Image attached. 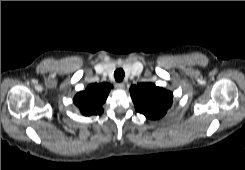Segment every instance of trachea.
Returning <instances> with one entry per match:
<instances>
[{"instance_id":"3493384b","label":"trachea","mask_w":245,"mask_h":170,"mask_svg":"<svg viewBox=\"0 0 245 170\" xmlns=\"http://www.w3.org/2000/svg\"><path fill=\"white\" fill-rule=\"evenodd\" d=\"M124 76H125V73L121 68L115 70L114 77H115V80L117 82H121L123 80Z\"/></svg>"}]
</instances>
